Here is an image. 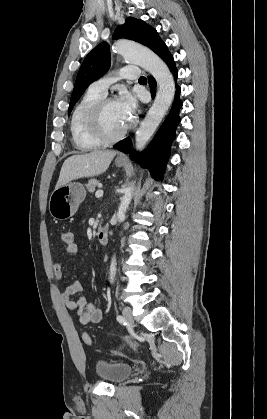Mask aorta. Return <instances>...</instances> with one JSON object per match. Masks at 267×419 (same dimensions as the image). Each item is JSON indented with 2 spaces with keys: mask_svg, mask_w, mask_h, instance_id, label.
Here are the masks:
<instances>
[{
  "mask_svg": "<svg viewBox=\"0 0 267 419\" xmlns=\"http://www.w3.org/2000/svg\"><path fill=\"white\" fill-rule=\"evenodd\" d=\"M113 51L123 56L130 62L137 64L147 70L156 80L158 85L157 94L146 117L136 131V148L141 150L156 131L162 119L166 115L175 94V83L167 65L151 50L129 41H118ZM134 184H131L124 191L120 206L117 211V220L121 222L132 200ZM116 275V258L110 264V282L114 281Z\"/></svg>",
  "mask_w": 267,
  "mask_h": 419,
  "instance_id": "1",
  "label": "aorta"
}]
</instances>
